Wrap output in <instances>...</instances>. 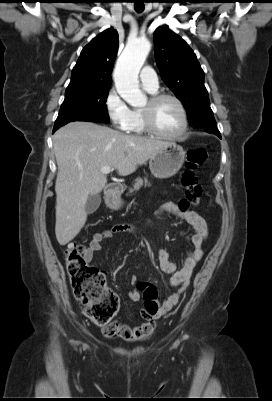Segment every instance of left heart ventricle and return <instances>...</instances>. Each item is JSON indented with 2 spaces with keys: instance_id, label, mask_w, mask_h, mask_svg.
Wrapping results in <instances>:
<instances>
[{
  "instance_id": "obj_1",
  "label": "left heart ventricle",
  "mask_w": 272,
  "mask_h": 401,
  "mask_svg": "<svg viewBox=\"0 0 272 401\" xmlns=\"http://www.w3.org/2000/svg\"><path fill=\"white\" fill-rule=\"evenodd\" d=\"M147 104L148 101L143 107H146ZM153 116L156 127L165 134L173 135L182 129V114L173 100L160 101L154 108Z\"/></svg>"
}]
</instances>
